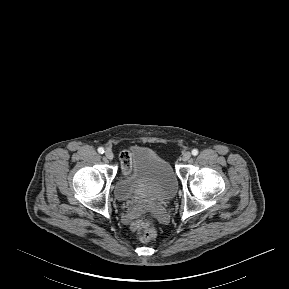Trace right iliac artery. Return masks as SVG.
<instances>
[{
    "instance_id": "obj_1",
    "label": "right iliac artery",
    "mask_w": 289,
    "mask_h": 289,
    "mask_svg": "<svg viewBox=\"0 0 289 289\" xmlns=\"http://www.w3.org/2000/svg\"><path fill=\"white\" fill-rule=\"evenodd\" d=\"M98 152H99L100 154H103V153H104V148H103V147H99V148H98Z\"/></svg>"
}]
</instances>
